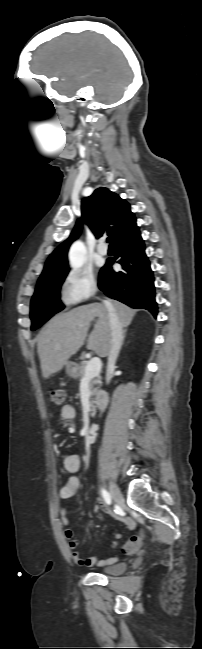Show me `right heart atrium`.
Returning a JSON list of instances; mask_svg holds the SVG:
<instances>
[{
	"label": "right heart atrium",
	"mask_w": 202,
	"mask_h": 649,
	"mask_svg": "<svg viewBox=\"0 0 202 649\" xmlns=\"http://www.w3.org/2000/svg\"><path fill=\"white\" fill-rule=\"evenodd\" d=\"M98 284L92 271L73 269L66 273L60 287V300L63 305H73L91 299L97 292Z\"/></svg>",
	"instance_id": "obj_1"
}]
</instances>
